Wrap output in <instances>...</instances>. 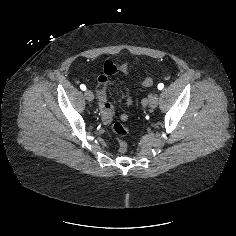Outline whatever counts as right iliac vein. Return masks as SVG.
<instances>
[{
  "label": "right iliac vein",
  "instance_id": "63e3f726",
  "mask_svg": "<svg viewBox=\"0 0 236 236\" xmlns=\"http://www.w3.org/2000/svg\"><path fill=\"white\" fill-rule=\"evenodd\" d=\"M84 95H85V98L87 99V101L92 102L94 100V95H93L92 91L86 90Z\"/></svg>",
  "mask_w": 236,
  "mask_h": 236
}]
</instances>
